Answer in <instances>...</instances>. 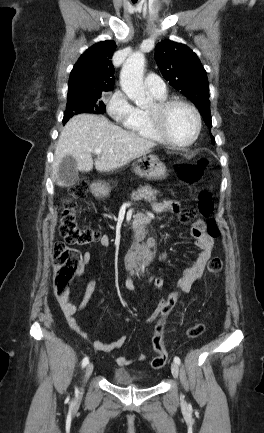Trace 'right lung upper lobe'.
Here are the masks:
<instances>
[{"instance_id": "obj_1", "label": "right lung upper lobe", "mask_w": 264, "mask_h": 433, "mask_svg": "<svg viewBox=\"0 0 264 433\" xmlns=\"http://www.w3.org/2000/svg\"><path fill=\"white\" fill-rule=\"evenodd\" d=\"M116 49L114 41L99 42L81 55L70 74L68 97L111 91L114 68L110 61Z\"/></svg>"}]
</instances>
